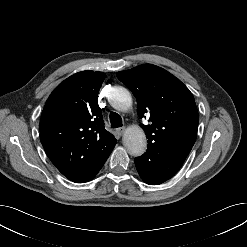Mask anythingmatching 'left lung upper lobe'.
<instances>
[{
    "instance_id": "5c2ea615",
    "label": "left lung upper lobe",
    "mask_w": 247,
    "mask_h": 247,
    "mask_svg": "<svg viewBox=\"0 0 247 247\" xmlns=\"http://www.w3.org/2000/svg\"><path fill=\"white\" fill-rule=\"evenodd\" d=\"M137 100V114L149 117L142 125L148 148L181 146L191 150L197 136L199 116L189 89L166 70L151 64L117 73Z\"/></svg>"
}]
</instances>
